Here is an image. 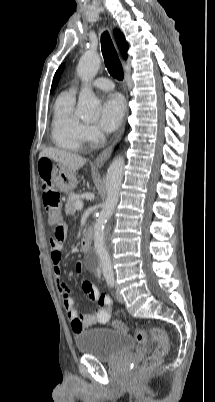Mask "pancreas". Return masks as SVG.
I'll list each match as a JSON object with an SVG mask.
<instances>
[{
  "label": "pancreas",
  "mask_w": 215,
  "mask_h": 402,
  "mask_svg": "<svg viewBox=\"0 0 215 402\" xmlns=\"http://www.w3.org/2000/svg\"><path fill=\"white\" fill-rule=\"evenodd\" d=\"M77 199L75 197V194L70 193L68 198H67V203L65 205V212L67 215H73L76 211L75 209V203Z\"/></svg>",
  "instance_id": "obj_1"
}]
</instances>
